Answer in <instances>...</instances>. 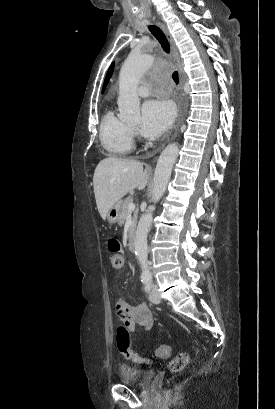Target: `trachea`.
<instances>
[{
  "label": "trachea",
  "instance_id": "1",
  "mask_svg": "<svg viewBox=\"0 0 275 409\" xmlns=\"http://www.w3.org/2000/svg\"><path fill=\"white\" fill-rule=\"evenodd\" d=\"M149 30L154 35V37L158 40V42L162 46L163 50L165 52L169 53L170 45H169V42H168L166 36L162 32V30H160V28L156 27L155 25H150ZM172 77H173V80H174L175 83H179V74H178V72H174Z\"/></svg>",
  "mask_w": 275,
  "mask_h": 409
}]
</instances>
